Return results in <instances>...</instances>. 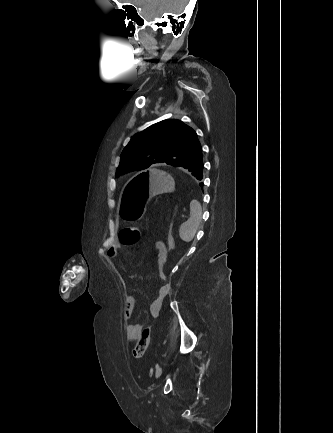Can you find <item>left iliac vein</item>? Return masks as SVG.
I'll return each instance as SVG.
<instances>
[{
    "label": "left iliac vein",
    "mask_w": 333,
    "mask_h": 433,
    "mask_svg": "<svg viewBox=\"0 0 333 433\" xmlns=\"http://www.w3.org/2000/svg\"><path fill=\"white\" fill-rule=\"evenodd\" d=\"M161 373H162V368H161V367H158V368L156 369V372H155V376H156V378L160 377Z\"/></svg>",
    "instance_id": "obj_1"
}]
</instances>
